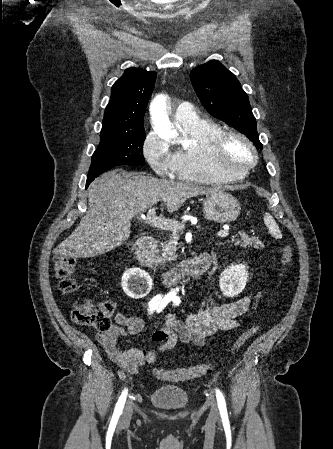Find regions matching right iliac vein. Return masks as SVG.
<instances>
[{"mask_svg":"<svg viewBox=\"0 0 333 449\" xmlns=\"http://www.w3.org/2000/svg\"><path fill=\"white\" fill-rule=\"evenodd\" d=\"M132 413H133V410H132L131 404L128 402L126 404V406L124 407V411H123L122 416L120 418L119 424L122 425V426L128 425L130 423L131 418H132Z\"/></svg>","mask_w":333,"mask_h":449,"instance_id":"1","label":"right iliac vein"}]
</instances>
